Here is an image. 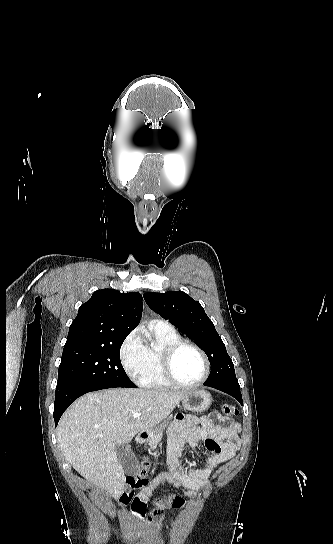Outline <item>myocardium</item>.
Returning <instances> with one entry per match:
<instances>
[{
  "mask_svg": "<svg viewBox=\"0 0 333 544\" xmlns=\"http://www.w3.org/2000/svg\"><path fill=\"white\" fill-rule=\"evenodd\" d=\"M185 348H190V349H193L194 351H196L201 356V358H202V360L204 362V366H205L204 374H203V376H202V378L200 380H198L197 382H194V383H184V382L180 381L177 378L176 374H175V370H174L175 358L179 354V352L181 350L185 349ZM160 365H161V371H162V374H163L164 378L171 385L177 386V387H180V388H185V389L196 388V387L201 386L202 384H204L207 381V379L210 376V372H211L210 361H209L208 356L206 355V353L200 347H198L196 344L188 342V341H183V340L172 343V344L166 346L162 350L161 357H160Z\"/></svg>",
  "mask_w": 333,
  "mask_h": 544,
  "instance_id": "myocardium-1",
  "label": "myocardium"
}]
</instances>
